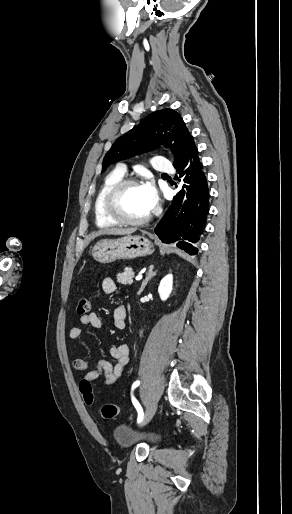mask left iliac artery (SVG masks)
<instances>
[{"label":"left iliac artery","mask_w":292,"mask_h":514,"mask_svg":"<svg viewBox=\"0 0 292 514\" xmlns=\"http://www.w3.org/2000/svg\"><path fill=\"white\" fill-rule=\"evenodd\" d=\"M140 385V381L137 380L133 383L132 385V390H134L136 387H138ZM132 401H133V404L137 410V413H138V417H137V423H141L143 418H144V413H143V409L141 407V405L138 403V401L136 399H134V397H132Z\"/></svg>","instance_id":"obj_1"}]
</instances>
